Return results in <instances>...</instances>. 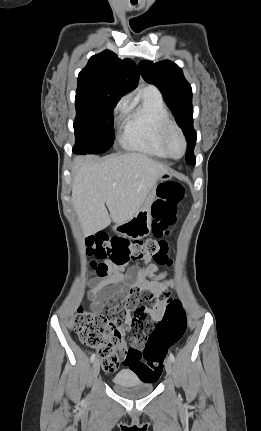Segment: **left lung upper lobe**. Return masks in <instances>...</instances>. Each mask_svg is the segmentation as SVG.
Listing matches in <instances>:
<instances>
[{"label": "left lung upper lobe", "mask_w": 261, "mask_h": 431, "mask_svg": "<svg viewBox=\"0 0 261 431\" xmlns=\"http://www.w3.org/2000/svg\"><path fill=\"white\" fill-rule=\"evenodd\" d=\"M144 80L154 84L162 93L187 140L186 162L195 164L193 150L197 135L193 128L192 88L182 70L173 62L165 60L153 63L148 60L138 65Z\"/></svg>", "instance_id": "left-lung-upper-lobe-1"}]
</instances>
